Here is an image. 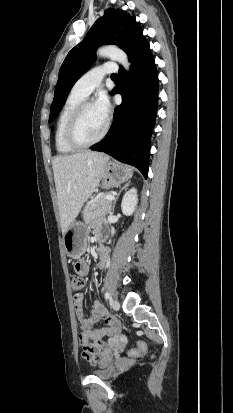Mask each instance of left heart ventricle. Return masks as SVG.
I'll list each match as a JSON object with an SVG mask.
<instances>
[{"label": "left heart ventricle", "mask_w": 233, "mask_h": 413, "mask_svg": "<svg viewBox=\"0 0 233 413\" xmlns=\"http://www.w3.org/2000/svg\"><path fill=\"white\" fill-rule=\"evenodd\" d=\"M106 121L95 104L88 106L77 127L78 139L83 142L94 140L103 131Z\"/></svg>", "instance_id": "b2bd125f"}]
</instances>
